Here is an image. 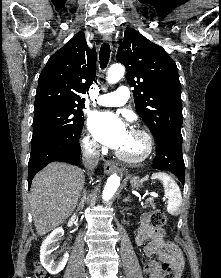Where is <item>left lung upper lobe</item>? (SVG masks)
<instances>
[{"instance_id": "5c2ea615", "label": "left lung upper lobe", "mask_w": 221, "mask_h": 278, "mask_svg": "<svg viewBox=\"0 0 221 278\" xmlns=\"http://www.w3.org/2000/svg\"><path fill=\"white\" fill-rule=\"evenodd\" d=\"M117 53L134 87L136 111L155 139L165 133L181 134L182 101L178 69L159 45L128 29Z\"/></svg>"}]
</instances>
